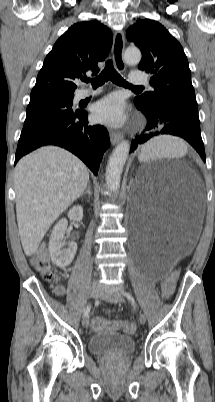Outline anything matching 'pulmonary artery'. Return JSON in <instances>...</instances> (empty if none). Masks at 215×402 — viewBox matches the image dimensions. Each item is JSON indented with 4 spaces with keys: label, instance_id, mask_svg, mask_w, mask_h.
I'll return each mask as SVG.
<instances>
[{
    "label": "pulmonary artery",
    "instance_id": "pulmonary-artery-1",
    "mask_svg": "<svg viewBox=\"0 0 215 402\" xmlns=\"http://www.w3.org/2000/svg\"><path fill=\"white\" fill-rule=\"evenodd\" d=\"M130 82L132 84H147L148 79L144 73L137 71V72H133L130 75ZM99 92H100V89H97V90L82 89L76 93L75 99L77 101H79V100L85 99L87 97L96 95Z\"/></svg>",
    "mask_w": 215,
    "mask_h": 402
}]
</instances>
